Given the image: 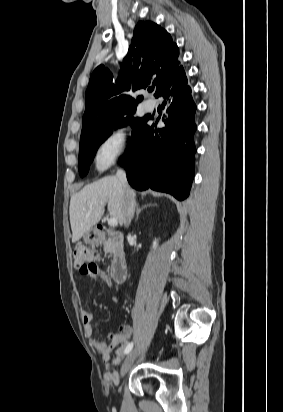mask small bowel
I'll list each match as a JSON object with an SVG mask.
<instances>
[{
	"mask_svg": "<svg viewBox=\"0 0 283 412\" xmlns=\"http://www.w3.org/2000/svg\"><path fill=\"white\" fill-rule=\"evenodd\" d=\"M94 279H101L109 286L113 285L110 276L104 272L99 274L89 275ZM112 300L115 303L120 301L118 296H113ZM81 318L84 326L85 333L91 338L93 346L100 353L102 360L105 362L106 374L105 379L108 383H117L119 375L116 370L118 359L123 355L126 344L132 336V328L129 325H123L120 327V332L113 335L109 343H104L98 339L94 332L93 323L95 321V315L91 311L83 310L81 312ZM126 346V347H125ZM115 352V357L112 358V352Z\"/></svg>",
	"mask_w": 283,
	"mask_h": 412,
	"instance_id": "c3829d8e",
	"label": "small bowel"
}]
</instances>
